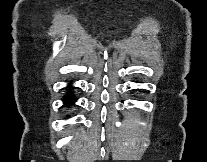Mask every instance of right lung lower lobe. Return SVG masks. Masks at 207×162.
<instances>
[{"label": "right lung lower lobe", "mask_w": 207, "mask_h": 162, "mask_svg": "<svg viewBox=\"0 0 207 162\" xmlns=\"http://www.w3.org/2000/svg\"><path fill=\"white\" fill-rule=\"evenodd\" d=\"M76 97L74 96V94L71 91H68L65 97V104L66 106H71L72 104H74V102L76 101Z\"/></svg>", "instance_id": "1"}]
</instances>
